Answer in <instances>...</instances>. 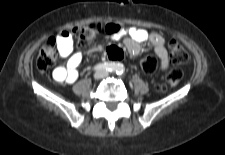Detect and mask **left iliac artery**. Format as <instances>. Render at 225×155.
<instances>
[{
    "label": "left iliac artery",
    "mask_w": 225,
    "mask_h": 155,
    "mask_svg": "<svg viewBox=\"0 0 225 155\" xmlns=\"http://www.w3.org/2000/svg\"><path fill=\"white\" fill-rule=\"evenodd\" d=\"M115 72H116V74L117 75H121V74H123V72H124V68H123V65H117V68H116V70H115Z\"/></svg>",
    "instance_id": "obj_1"
}]
</instances>
